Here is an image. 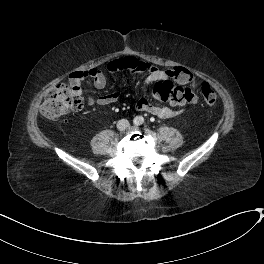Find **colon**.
I'll list each match as a JSON object with an SVG mask.
<instances>
[{
  "label": "colon",
  "mask_w": 264,
  "mask_h": 264,
  "mask_svg": "<svg viewBox=\"0 0 264 264\" xmlns=\"http://www.w3.org/2000/svg\"><path fill=\"white\" fill-rule=\"evenodd\" d=\"M169 80L161 81L155 87L156 97L174 105L192 102L195 98L190 86L175 85L173 81L186 82L188 76L182 67L167 70ZM96 71H90L95 74ZM79 73L72 74L69 79L52 88L42 101L40 112L48 120H56L62 116L77 112L84 108L85 97L82 93ZM201 94L207 105H214L217 101L215 90L208 84L201 86Z\"/></svg>",
  "instance_id": "obj_1"
}]
</instances>
